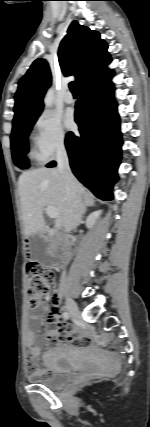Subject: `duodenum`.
<instances>
[{"instance_id":"410a0bca","label":"duodenum","mask_w":150,"mask_h":427,"mask_svg":"<svg viewBox=\"0 0 150 427\" xmlns=\"http://www.w3.org/2000/svg\"><path fill=\"white\" fill-rule=\"evenodd\" d=\"M56 246H57V252L54 259V265L57 266L58 268H64L69 263L70 255H71L69 242L66 238L57 236Z\"/></svg>"}]
</instances>
